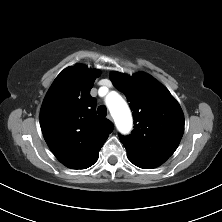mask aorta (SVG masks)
Instances as JSON below:
<instances>
[{"label":"aorta","mask_w":222,"mask_h":222,"mask_svg":"<svg viewBox=\"0 0 222 222\" xmlns=\"http://www.w3.org/2000/svg\"><path fill=\"white\" fill-rule=\"evenodd\" d=\"M106 104L121 133H127L132 127V117L128 105L116 92L110 93L106 98Z\"/></svg>","instance_id":"aorta-1"}]
</instances>
